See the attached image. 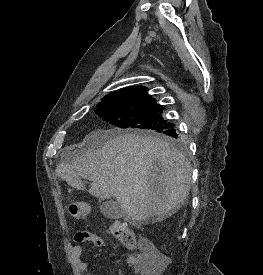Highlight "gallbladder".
<instances>
[{"mask_svg": "<svg viewBox=\"0 0 263 275\" xmlns=\"http://www.w3.org/2000/svg\"><path fill=\"white\" fill-rule=\"evenodd\" d=\"M102 214L110 219H117L123 215V209L117 201H106L100 205Z\"/></svg>", "mask_w": 263, "mask_h": 275, "instance_id": "1", "label": "gallbladder"}]
</instances>
